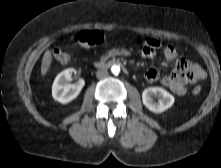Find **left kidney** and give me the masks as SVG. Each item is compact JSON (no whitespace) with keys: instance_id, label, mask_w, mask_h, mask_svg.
<instances>
[{"instance_id":"1","label":"left kidney","mask_w":221,"mask_h":168,"mask_svg":"<svg viewBox=\"0 0 221 168\" xmlns=\"http://www.w3.org/2000/svg\"><path fill=\"white\" fill-rule=\"evenodd\" d=\"M158 98V102L153 100ZM143 104L154 113H162L174 104V97L161 87H149L142 93Z\"/></svg>"}]
</instances>
